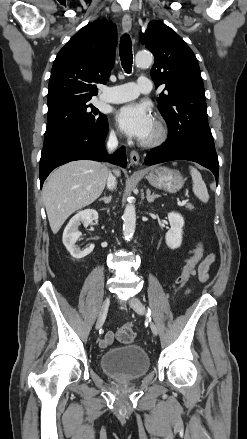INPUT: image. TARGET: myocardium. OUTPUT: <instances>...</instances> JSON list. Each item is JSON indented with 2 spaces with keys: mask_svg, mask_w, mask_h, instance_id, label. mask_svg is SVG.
<instances>
[{
  "mask_svg": "<svg viewBox=\"0 0 247 439\" xmlns=\"http://www.w3.org/2000/svg\"><path fill=\"white\" fill-rule=\"evenodd\" d=\"M155 132L154 135L148 139L142 141V146L144 147H156L163 144L168 138V128L165 122L157 117L154 121Z\"/></svg>",
  "mask_w": 247,
  "mask_h": 439,
  "instance_id": "myocardium-1",
  "label": "myocardium"
}]
</instances>
